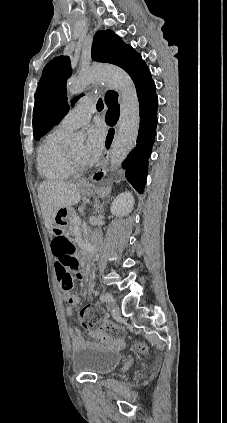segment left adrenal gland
<instances>
[{
	"label": "left adrenal gland",
	"mask_w": 227,
	"mask_h": 423,
	"mask_svg": "<svg viewBox=\"0 0 227 423\" xmlns=\"http://www.w3.org/2000/svg\"><path fill=\"white\" fill-rule=\"evenodd\" d=\"M97 210L104 211V208L103 206H100V208H97Z\"/></svg>",
	"instance_id": "a2214340"
}]
</instances>
